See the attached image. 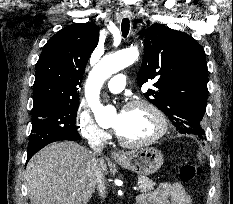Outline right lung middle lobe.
Returning a JSON list of instances; mask_svg holds the SVG:
<instances>
[{"label":"right lung middle lobe","instance_id":"obj_1","mask_svg":"<svg viewBox=\"0 0 233 204\" xmlns=\"http://www.w3.org/2000/svg\"><path fill=\"white\" fill-rule=\"evenodd\" d=\"M78 101L37 106L32 109V131L28 151L40 150L62 139H80L76 130Z\"/></svg>","mask_w":233,"mask_h":204}]
</instances>
